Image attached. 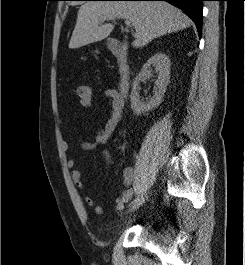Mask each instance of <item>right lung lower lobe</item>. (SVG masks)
<instances>
[{
    "label": "right lung lower lobe",
    "instance_id": "1",
    "mask_svg": "<svg viewBox=\"0 0 245 265\" xmlns=\"http://www.w3.org/2000/svg\"><path fill=\"white\" fill-rule=\"evenodd\" d=\"M117 1H167L182 9L196 24L199 36L202 28V1L204 0H117Z\"/></svg>",
    "mask_w": 245,
    "mask_h": 265
}]
</instances>
